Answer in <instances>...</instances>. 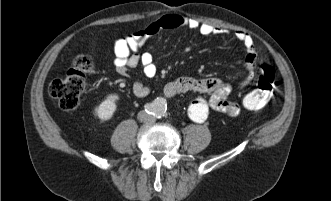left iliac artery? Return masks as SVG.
<instances>
[{
    "instance_id": "obj_1",
    "label": "left iliac artery",
    "mask_w": 331,
    "mask_h": 201,
    "mask_svg": "<svg viewBox=\"0 0 331 201\" xmlns=\"http://www.w3.org/2000/svg\"><path fill=\"white\" fill-rule=\"evenodd\" d=\"M164 113H165V111H164ZM157 114L159 115V116H161L162 114H163V109H162V107H158L157 108Z\"/></svg>"
}]
</instances>
